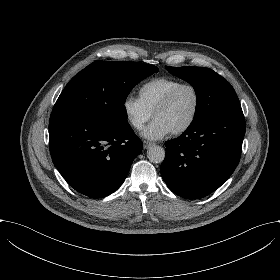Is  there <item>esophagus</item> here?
<instances>
[{
	"mask_svg": "<svg viewBox=\"0 0 280 280\" xmlns=\"http://www.w3.org/2000/svg\"><path fill=\"white\" fill-rule=\"evenodd\" d=\"M152 145H153L152 142L143 141V148H144V149H148V148L151 147Z\"/></svg>",
	"mask_w": 280,
	"mask_h": 280,
	"instance_id": "obj_1",
	"label": "esophagus"
}]
</instances>
